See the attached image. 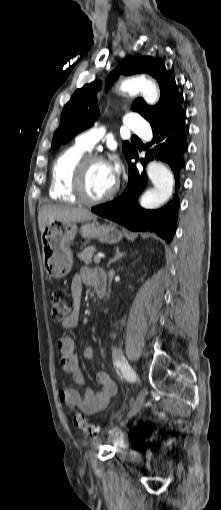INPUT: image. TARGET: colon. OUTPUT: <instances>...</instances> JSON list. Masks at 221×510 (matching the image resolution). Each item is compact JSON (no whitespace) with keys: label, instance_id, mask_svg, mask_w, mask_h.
Returning <instances> with one entry per match:
<instances>
[{"label":"colon","instance_id":"colon-1","mask_svg":"<svg viewBox=\"0 0 221 510\" xmlns=\"http://www.w3.org/2000/svg\"><path fill=\"white\" fill-rule=\"evenodd\" d=\"M73 307L74 300L71 294L61 288L53 290L51 294V318L54 321H62L72 312ZM73 424L89 436L94 437L100 433V429L88 423L86 417L81 413L73 414Z\"/></svg>","mask_w":221,"mask_h":510}]
</instances>
